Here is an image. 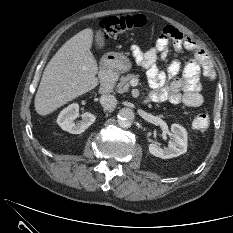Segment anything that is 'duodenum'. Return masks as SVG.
Returning a JSON list of instances; mask_svg holds the SVG:
<instances>
[{
    "mask_svg": "<svg viewBox=\"0 0 233 233\" xmlns=\"http://www.w3.org/2000/svg\"><path fill=\"white\" fill-rule=\"evenodd\" d=\"M117 78V69L111 60L105 61L100 70V88L101 94H107L113 89L114 83Z\"/></svg>",
    "mask_w": 233,
    "mask_h": 233,
    "instance_id": "410a0bca",
    "label": "duodenum"
}]
</instances>
